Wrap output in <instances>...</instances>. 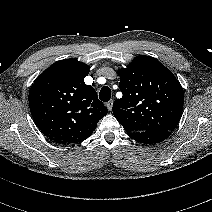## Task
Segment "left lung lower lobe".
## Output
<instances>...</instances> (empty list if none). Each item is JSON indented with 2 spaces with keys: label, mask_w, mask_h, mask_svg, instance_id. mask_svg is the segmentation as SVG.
Masks as SVG:
<instances>
[{
  "label": "left lung lower lobe",
  "mask_w": 212,
  "mask_h": 212,
  "mask_svg": "<svg viewBox=\"0 0 212 212\" xmlns=\"http://www.w3.org/2000/svg\"><path fill=\"white\" fill-rule=\"evenodd\" d=\"M171 131L146 130L143 132H130L128 135L137 142L144 144H156L169 137Z\"/></svg>",
  "instance_id": "left-lung-lower-lobe-1"
}]
</instances>
